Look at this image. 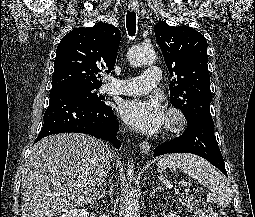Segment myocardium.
Returning <instances> with one entry per match:
<instances>
[{"mask_svg":"<svg viewBox=\"0 0 255 217\" xmlns=\"http://www.w3.org/2000/svg\"><path fill=\"white\" fill-rule=\"evenodd\" d=\"M187 126V117L178 107H170L167 110L164 134L166 136L177 135L184 131Z\"/></svg>","mask_w":255,"mask_h":217,"instance_id":"obj_1","label":"myocardium"}]
</instances>
